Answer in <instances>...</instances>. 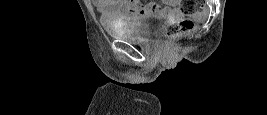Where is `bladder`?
Here are the masks:
<instances>
[{
	"label": "bladder",
	"mask_w": 267,
	"mask_h": 115,
	"mask_svg": "<svg viewBox=\"0 0 267 115\" xmlns=\"http://www.w3.org/2000/svg\"><path fill=\"white\" fill-rule=\"evenodd\" d=\"M165 16L155 13L141 15L136 22L108 25L107 31L114 38L143 42L151 39L164 22Z\"/></svg>",
	"instance_id": "bladder-1"
}]
</instances>
